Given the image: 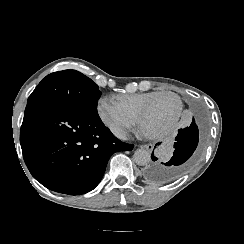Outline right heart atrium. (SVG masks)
<instances>
[{
  "label": "right heart atrium",
  "instance_id": "d8ad5b80",
  "mask_svg": "<svg viewBox=\"0 0 244 244\" xmlns=\"http://www.w3.org/2000/svg\"><path fill=\"white\" fill-rule=\"evenodd\" d=\"M98 114L102 121L116 135L124 134L128 129L135 126L137 122V114L130 105H116L107 99L98 104Z\"/></svg>",
  "mask_w": 244,
  "mask_h": 244
}]
</instances>
